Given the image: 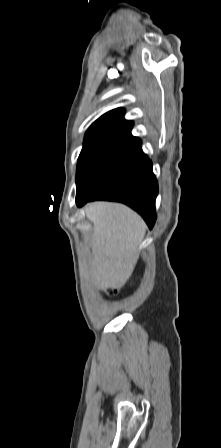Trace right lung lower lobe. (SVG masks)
Returning <instances> with one entry per match:
<instances>
[{
	"label": "right lung lower lobe",
	"instance_id": "right-lung-lower-lobe-1",
	"mask_svg": "<svg viewBox=\"0 0 221 448\" xmlns=\"http://www.w3.org/2000/svg\"><path fill=\"white\" fill-rule=\"evenodd\" d=\"M141 145L139 138L132 137L110 151L77 193V206L93 200L122 202L137 211L151 229L158 183Z\"/></svg>",
	"mask_w": 221,
	"mask_h": 448
}]
</instances>
